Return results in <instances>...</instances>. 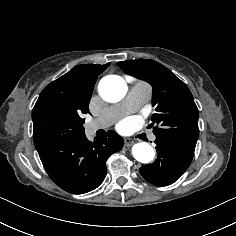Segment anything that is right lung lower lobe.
<instances>
[{
    "label": "right lung lower lobe",
    "instance_id": "98d812e1",
    "mask_svg": "<svg viewBox=\"0 0 236 236\" xmlns=\"http://www.w3.org/2000/svg\"><path fill=\"white\" fill-rule=\"evenodd\" d=\"M124 140L114 131L96 142L85 133L55 139L36 146L43 166L50 178L62 189L83 194L97 188L104 180L108 157L122 149Z\"/></svg>",
    "mask_w": 236,
    "mask_h": 236
}]
</instances>
